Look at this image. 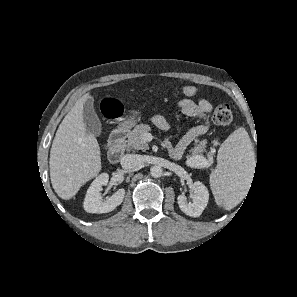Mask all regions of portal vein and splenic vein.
<instances>
[{
    "instance_id": "18ae733b",
    "label": "portal vein and splenic vein",
    "mask_w": 297,
    "mask_h": 297,
    "mask_svg": "<svg viewBox=\"0 0 297 297\" xmlns=\"http://www.w3.org/2000/svg\"><path fill=\"white\" fill-rule=\"evenodd\" d=\"M144 136L146 137L147 140L152 139V135L150 133H146Z\"/></svg>"
}]
</instances>
